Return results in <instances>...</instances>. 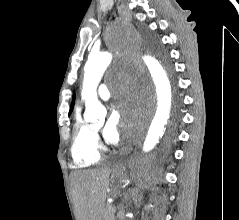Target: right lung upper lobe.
<instances>
[{
    "label": "right lung upper lobe",
    "instance_id": "cb5924a9",
    "mask_svg": "<svg viewBox=\"0 0 239 220\" xmlns=\"http://www.w3.org/2000/svg\"><path fill=\"white\" fill-rule=\"evenodd\" d=\"M74 98H75V95L73 96V102H72V106H71V109H70V113H71V111L73 109V106H74Z\"/></svg>",
    "mask_w": 239,
    "mask_h": 220
}]
</instances>
